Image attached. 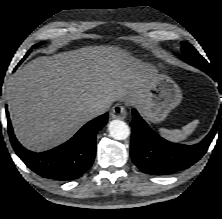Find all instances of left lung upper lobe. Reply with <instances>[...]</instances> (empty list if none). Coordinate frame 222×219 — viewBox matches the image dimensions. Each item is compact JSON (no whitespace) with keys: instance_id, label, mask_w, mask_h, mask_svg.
<instances>
[{"instance_id":"left-lung-upper-lobe-1","label":"left lung upper lobe","mask_w":222,"mask_h":219,"mask_svg":"<svg viewBox=\"0 0 222 219\" xmlns=\"http://www.w3.org/2000/svg\"><path fill=\"white\" fill-rule=\"evenodd\" d=\"M182 55L187 63H194L196 65H204L209 67V63L197 52V50L189 43L182 42Z\"/></svg>"}]
</instances>
